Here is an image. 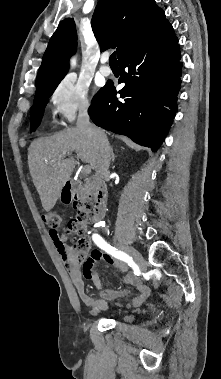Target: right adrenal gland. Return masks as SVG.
Returning <instances> with one entry per match:
<instances>
[{
    "instance_id": "1",
    "label": "right adrenal gland",
    "mask_w": 221,
    "mask_h": 379,
    "mask_svg": "<svg viewBox=\"0 0 221 379\" xmlns=\"http://www.w3.org/2000/svg\"><path fill=\"white\" fill-rule=\"evenodd\" d=\"M110 150H111V162L113 163L114 161H115V154H114V152H113V148L112 147H110Z\"/></svg>"
}]
</instances>
